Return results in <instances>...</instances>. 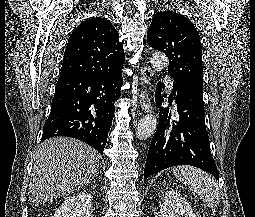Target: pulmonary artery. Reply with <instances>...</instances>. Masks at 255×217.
<instances>
[{"label":"pulmonary artery","mask_w":255,"mask_h":217,"mask_svg":"<svg viewBox=\"0 0 255 217\" xmlns=\"http://www.w3.org/2000/svg\"><path fill=\"white\" fill-rule=\"evenodd\" d=\"M166 83L170 90H173V82L171 80H166Z\"/></svg>","instance_id":"1"}]
</instances>
